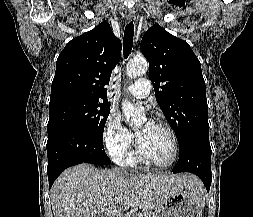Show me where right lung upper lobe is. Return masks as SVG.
Listing matches in <instances>:
<instances>
[{"label":"right lung upper lobe","mask_w":253,"mask_h":217,"mask_svg":"<svg viewBox=\"0 0 253 217\" xmlns=\"http://www.w3.org/2000/svg\"><path fill=\"white\" fill-rule=\"evenodd\" d=\"M120 58L121 41L107 21L72 39L57 59L50 103L69 98L106 100L104 85Z\"/></svg>","instance_id":"obj_1"}]
</instances>
